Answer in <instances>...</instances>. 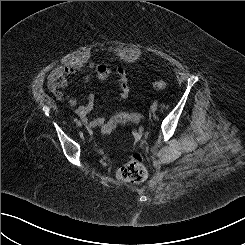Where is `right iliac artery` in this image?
<instances>
[{
  "label": "right iliac artery",
  "instance_id": "1",
  "mask_svg": "<svg viewBox=\"0 0 245 245\" xmlns=\"http://www.w3.org/2000/svg\"><path fill=\"white\" fill-rule=\"evenodd\" d=\"M74 122H75V123H78V122H79V120H78L77 118H75V119H74Z\"/></svg>",
  "mask_w": 245,
  "mask_h": 245
}]
</instances>
